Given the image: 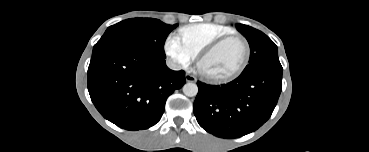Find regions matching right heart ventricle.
I'll use <instances>...</instances> for the list:
<instances>
[{
  "label": "right heart ventricle",
  "instance_id": "right-heart-ventricle-1",
  "mask_svg": "<svg viewBox=\"0 0 369 152\" xmlns=\"http://www.w3.org/2000/svg\"><path fill=\"white\" fill-rule=\"evenodd\" d=\"M235 31L225 25L216 23H196L182 27L179 35L183 42L196 54L218 38L233 34Z\"/></svg>",
  "mask_w": 369,
  "mask_h": 152
}]
</instances>
